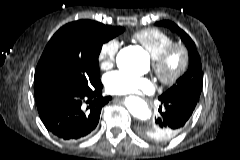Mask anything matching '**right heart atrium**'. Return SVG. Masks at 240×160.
<instances>
[{"instance_id":"1","label":"right heart atrium","mask_w":240,"mask_h":160,"mask_svg":"<svg viewBox=\"0 0 240 160\" xmlns=\"http://www.w3.org/2000/svg\"><path fill=\"white\" fill-rule=\"evenodd\" d=\"M120 44L118 40L111 39L105 42L98 53V60L100 67L104 70H108L113 67Z\"/></svg>"}]
</instances>
